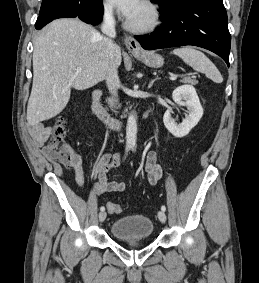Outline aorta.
Wrapping results in <instances>:
<instances>
[{
	"instance_id": "obj_1",
	"label": "aorta",
	"mask_w": 259,
	"mask_h": 283,
	"mask_svg": "<svg viewBox=\"0 0 259 283\" xmlns=\"http://www.w3.org/2000/svg\"><path fill=\"white\" fill-rule=\"evenodd\" d=\"M137 138V118L133 112L129 115L126 126V143L128 146H135Z\"/></svg>"
}]
</instances>
